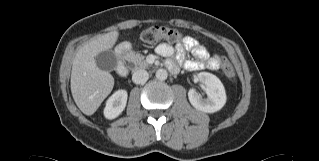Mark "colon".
I'll use <instances>...</instances> for the list:
<instances>
[{
  "mask_svg": "<svg viewBox=\"0 0 319 161\" xmlns=\"http://www.w3.org/2000/svg\"><path fill=\"white\" fill-rule=\"evenodd\" d=\"M141 38L144 42L148 44H154L159 41H169L172 43H179L182 39V34L180 31L164 26H152L144 30L141 34ZM211 69H222L225 75L234 80L235 73L233 69L224 61H216L210 64Z\"/></svg>",
  "mask_w": 319,
  "mask_h": 161,
  "instance_id": "5ec220e1",
  "label": "colon"
}]
</instances>
